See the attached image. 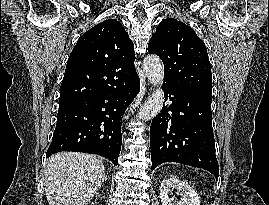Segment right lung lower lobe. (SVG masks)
Segmentation results:
<instances>
[{
  "instance_id": "right-lung-lower-lobe-1",
  "label": "right lung lower lobe",
  "mask_w": 269,
  "mask_h": 205,
  "mask_svg": "<svg viewBox=\"0 0 269 205\" xmlns=\"http://www.w3.org/2000/svg\"><path fill=\"white\" fill-rule=\"evenodd\" d=\"M136 71L112 90L60 102L56 128L47 157L60 151L98 154L117 166L121 150V121L140 90Z\"/></svg>"
}]
</instances>
